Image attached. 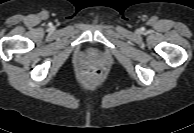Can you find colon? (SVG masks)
<instances>
[{
  "instance_id": "obj_1",
  "label": "colon",
  "mask_w": 194,
  "mask_h": 133,
  "mask_svg": "<svg viewBox=\"0 0 194 133\" xmlns=\"http://www.w3.org/2000/svg\"><path fill=\"white\" fill-rule=\"evenodd\" d=\"M84 75L89 81H97L102 76V71L98 67L90 66L84 70Z\"/></svg>"
}]
</instances>
